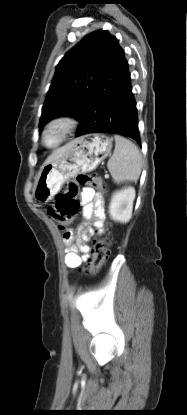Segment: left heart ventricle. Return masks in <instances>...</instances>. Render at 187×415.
Instances as JSON below:
<instances>
[{"label": "left heart ventricle", "mask_w": 187, "mask_h": 415, "mask_svg": "<svg viewBox=\"0 0 187 415\" xmlns=\"http://www.w3.org/2000/svg\"><path fill=\"white\" fill-rule=\"evenodd\" d=\"M56 136H57L56 132L50 133L48 137V141L53 142L56 139Z\"/></svg>", "instance_id": "1"}]
</instances>
